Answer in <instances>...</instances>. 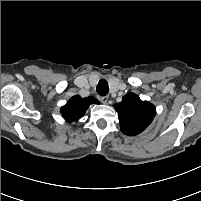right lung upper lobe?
<instances>
[{
    "label": "right lung upper lobe",
    "instance_id": "right-lung-upper-lobe-1",
    "mask_svg": "<svg viewBox=\"0 0 201 201\" xmlns=\"http://www.w3.org/2000/svg\"><path fill=\"white\" fill-rule=\"evenodd\" d=\"M91 104H99V101L91 96L82 98L76 95L61 107L60 112L67 122L72 123L81 118Z\"/></svg>",
    "mask_w": 201,
    "mask_h": 201
}]
</instances>
